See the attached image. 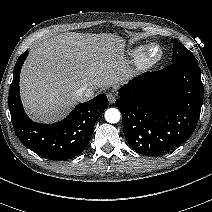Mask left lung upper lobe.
<instances>
[{"label":"left lung upper lobe","mask_w":212,"mask_h":212,"mask_svg":"<svg viewBox=\"0 0 212 212\" xmlns=\"http://www.w3.org/2000/svg\"><path fill=\"white\" fill-rule=\"evenodd\" d=\"M172 43H173L172 64L188 63V62L198 63L194 55L179 41L172 39Z\"/></svg>","instance_id":"obj_1"}]
</instances>
